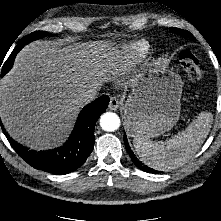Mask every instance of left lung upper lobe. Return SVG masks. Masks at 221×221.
<instances>
[{
    "label": "left lung upper lobe",
    "instance_id": "1",
    "mask_svg": "<svg viewBox=\"0 0 221 221\" xmlns=\"http://www.w3.org/2000/svg\"><path fill=\"white\" fill-rule=\"evenodd\" d=\"M170 30L172 32H174L175 34L191 37L187 32H185L183 30H180V29H177V28H170Z\"/></svg>",
    "mask_w": 221,
    "mask_h": 221
}]
</instances>
